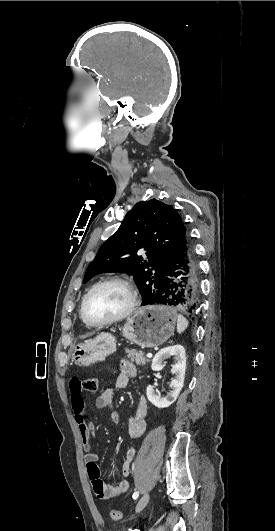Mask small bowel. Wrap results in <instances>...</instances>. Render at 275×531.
I'll return each mask as SVG.
<instances>
[{
  "mask_svg": "<svg viewBox=\"0 0 275 531\" xmlns=\"http://www.w3.org/2000/svg\"><path fill=\"white\" fill-rule=\"evenodd\" d=\"M120 372L114 384L105 388L96 398V407L101 410H108L110 419L113 423L120 422V414L113 408V399L116 391L124 389L128 386L129 380L135 377L137 369L135 365L128 360H121L119 363ZM70 385L71 407L74 414L75 421L78 425L81 441L84 446V459L86 462V470L91 482L92 489L95 495L101 500H111L127 492L129 482L121 480L117 484H106L101 476L100 469L97 464L98 453L91 448V439L95 436L94 425L87 421L85 416V406L83 398L77 397L83 392L82 375L80 373H70L68 376ZM74 396V397H73ZM148 417V403L144 396H141L135 411V414L129 420L128 433L131 438H139L143 436L147 428ZM136 458V450L128 448L123 456L121 473L123 477H128L131 473V465Z\"/></svg>",
  "mask_w": 275,
  "mask_h": 531,
  "instance_id": "obj_1",
  "label": "small bowel"
}]
</instances>
